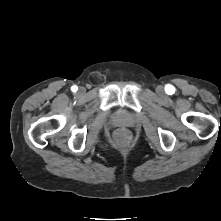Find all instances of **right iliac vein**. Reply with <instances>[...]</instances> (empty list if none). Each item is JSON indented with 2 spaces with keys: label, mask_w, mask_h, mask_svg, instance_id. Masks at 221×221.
Masks as SVG:
<instances>
[{
  "label": "right iliac vein",
  "mask_w": 221,
  "mask_h": 221,
  "mask_svg": "<svg viewBox=\"0 0 221 221\" xmlns=\"http://www.w3.org/2000/svg\"><path fill=\"white\" fill-rule=\"evenodd\" d=\"M83 91V89H80V92H82Z\"/></svg>",
  "instance_id": "1"
}]
</instances>
